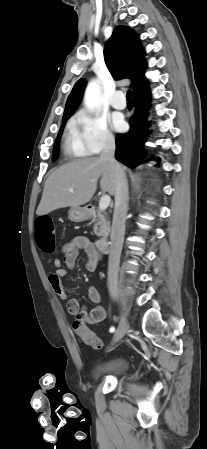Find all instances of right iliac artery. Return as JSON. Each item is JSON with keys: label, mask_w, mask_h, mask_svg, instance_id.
Segmentation results:
<instances>
[{"label": "right iliac artery", "mask_w": 207, "mask_h": 449, "mask_svg": "<svg viewBox=\"0 0 207 449\" xmlns=\"http://www.w3.org/2000/svg\"><path fill=\"white\" fill-rule=\"evenodd\" d=\"M114 331H115V328H114V327H111V328H110V332L113 333Z\"/></svg>", "instance_id": "1"}]
</instances>
